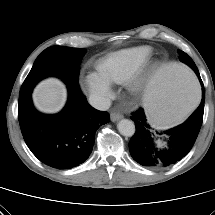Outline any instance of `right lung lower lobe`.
<instances>
[{
	"mask_svg": "<svg viewBox=\"0 0 215 215\" xmlns=\"http://www.w3.org/2000/svg\"><path fill=\"white\" fill-rule=\"evenodd\" d=\"M67 86L68 102L60 113L45 115L31 105L27 115L19 119L31 152L41 162L56 169H70L86 161L97 129L110 121L107 112L88 104L78 82Z\"/></svg>",
	"mask_w": 215,
	"mask_h": 215,
	"instance_id": "obj_1",
	"label": "right lung lower lobe"
}]
</instances>
